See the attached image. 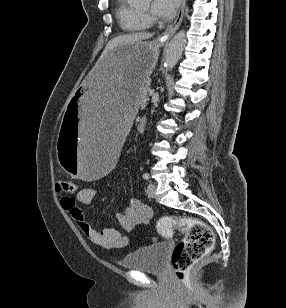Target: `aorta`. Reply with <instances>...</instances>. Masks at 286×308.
<instances>
[{
	"instance_id": "obj_1",
	"label": "aorta",
	"mask_w": 286,
	"mask_h": 308,
	"mask_svg": "<svg viewBox=\"0 0 286 308\" xmlns=\"http://www.w3.org/2000/svg\"><path fill=\"white\" fill-rule=\"evenodd\" d=\"M143 1V0H138ZM186 44V33L184 30L179 31L170 41L164 55V67L167 70L173 69L180 59Z\"/></svg>"
}]
</instances>
